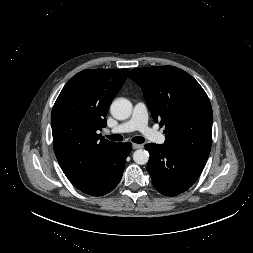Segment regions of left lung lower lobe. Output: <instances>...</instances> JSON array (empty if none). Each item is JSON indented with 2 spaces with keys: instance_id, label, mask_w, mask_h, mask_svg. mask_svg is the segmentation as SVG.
I'll list each match as a JSON object with an SVG mask.
<instances>
[{
  "instance_id": "0a47b994",
  "label": "left lung lower lobe",
  "mask_w": 253,
  "mask_h": 253,
  "mask_svg": "<svg viewBox=\"0 0 253 253\" xmlns=\"http://www.w3.org/2000/svg\"><path fill=\"white\" fill-rule=\"evenodd\" d=\"M150 154L147 171L155 189L165 196H175L190 188L205 165L170 152L160 144H146Z\"/></svg>"
}]
</instances>
